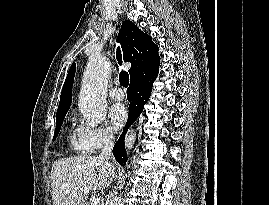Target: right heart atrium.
<instances>
[{"label":"right heart atrium","mask_w":269,"mask_h":205,"mask_svg":"<svg viewBox=\"0 0 269 205\" xmlns=\"http://www.w3.org/2000/svg\"><path fill=\"white\" fill-rule=\"evenodd\" d=\"M77 131L80 141L90 151L99 150L114 140L113 134L105 127H80Z\"/></svg>","instance_id":"obj_1"}]
</instances>
